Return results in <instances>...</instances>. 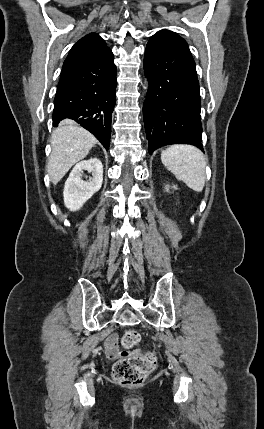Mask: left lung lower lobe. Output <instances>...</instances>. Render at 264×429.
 I'll list each match as a JSON object with an SVG mask.
<instances>
[{
    "label": "left lung lower lobe",
    "instance_id": "1",
    "mask_svg": "<svg viewBox=\"0 0 264 429\" xmlns=\"http://www.w3.org/2000/svg\"><path fill=\"white\" fill-rule=\"evenodd\" d=\"M144 70L150 81L143 106L149 153L179 143L203 151L199 82L187 42L172 31L157 32L147 43Z\"/></svg>",
    "mask_w": 264,
    "mask_h": 429
}]
</instances>
